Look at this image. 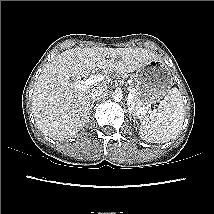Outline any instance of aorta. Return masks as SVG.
Here are the masks:
<instances>
[{
	"mask_svg": "<svg viewBox=\"0 0 214 214\" xmlns=\"http://www.w3.org/2000/svg\"><path fill=\"white\" fill-rule=\"evenodd\" d=\"M112 98L115 102H120L123 99L122 91L116 90L115 92H113Z\"/></svg>",
	"mask_w": 214,
	"mask_h": 214,
	"instance_id": "aorta-1",
	"label": "aorta"
}]
</instances>
